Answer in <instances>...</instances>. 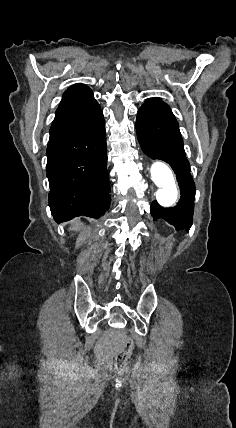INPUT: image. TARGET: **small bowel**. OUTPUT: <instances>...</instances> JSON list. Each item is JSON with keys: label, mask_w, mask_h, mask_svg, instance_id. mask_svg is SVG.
I'll use <instances>...</instances> for the list:
<instances>
[{"label": "small bowel", "mask_w": 236, "mask_h": 428, "mask_svg": "<svg viewBox=\"0 0 236 428\" xmlns=\"http://www.w3.org/2000/svg\"><path fill=\"white\" fill-rule=\"evenodd\" d=\"M122 332L117 328H112L98 341L96 353L101 358L108 359L119 347Z\"/></svg>", "instance_id": "1"}]
</instances>
